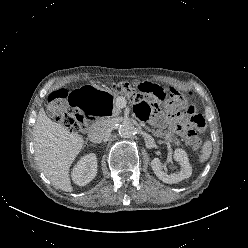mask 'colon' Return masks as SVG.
Wrapping results in <instances>:
<instances>
[{
  "label": "colon",
  "mask_w": 248,
  "mask_h": 248,
  "mask_svg": "<svg viewBox=\"0 0 248 248\" xmlns=\"http://www.w3.org/2000/svg\"><path fill=\"white\" fill-rule=\"evenodd\" d=\"M115 91L125 93L137 103L158 102L166 106L171 112L182 111L188 116V126L193 135L191 145L194 149H199L202 145L201 140L196 136V131L205 127V119L201 114L195 112L193 105L187 103L182 93L177 90H166L149 83L139 84L132 87L127 82L114 85ZM70 93L65 89L54 91L49 96L50 114L70 132H78L82 126L84 114L75 110L69 101Z\"/></svg>",
  "instance_id": "obj_1"
}]
</instances>
